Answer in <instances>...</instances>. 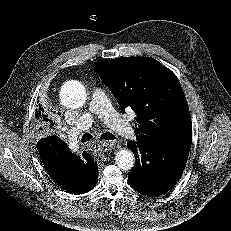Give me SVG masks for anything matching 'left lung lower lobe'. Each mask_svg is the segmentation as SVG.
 <instances>
[{
	"label": "left lung lower lobe",
	"mask_w": 231,
	"mask_h": 231,
	"mask_svg": "<svg viewBox=\"0 0 231 231\" xmlns=\"http://www.w3.org/2000/svg\"><path fill=\"white\" fill-rule=\"evenodd\" d=\"M127 147L136 158L128 176L130 185L147 196H159L170 190L180 179L189 155L157 144L129 141Z\"/></svg>",
	"instance_id": "0a47b994"
}]
</instances>
